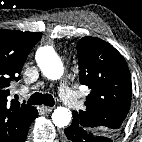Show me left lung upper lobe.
Instances as JSON below:
<instances>
[{"mask_svg":"<svg viewBox=\"0 0 142 142\" xmlns=\"http://www.w3.org/2000/svg\"><path fill=\"white\" fill-rule=\"evenodd\" d=\"M79 79L91 92L84 110L73 111V121L96 134L115 136L123 126L131 103V78L122 55L96 37L77 44Z\"/></svg>","mask_w":142,"mask_h":142,"instance_id":"left-lung-upper-lobe-1","label":"left lung upper lobe"}]
</instances>
